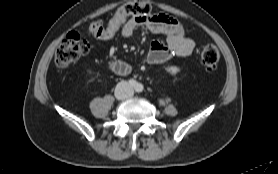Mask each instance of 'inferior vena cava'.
Returning a JSON list of instances; mask_svg holds the SVG:
<instances>
[{"mask_svg": "<svg viewBox=\"0 0 278 174\" xmlns=\"http://www.w3.org/2000/svg\"><path fill=\"white\" fill-rule=\"evenodd\" d=\"M118 88L120 90V96L122 98H127L133 95L134 91L127 82H120L118 84Z\"/></svg>", "mask_w": 278, "mask_h": 174, "instance_id": "inferior-vena-cava-1", "label": "inferior vena cava"}]
</instances>
